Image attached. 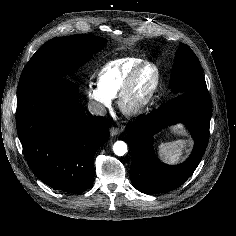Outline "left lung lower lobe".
I'll use <instances>...</instances> for the list:
<instances>
[{
    "label": "left lung lower lobe",
    "mask_w": 236,
    "mask_h": 236,
    "mask_svg": "<svg viewBox=\"0 0 236 236\" xmlns=\"http://www.w3.org/2000/svg\"><path fill=\"white\" fill-rule=\"evenodd\" d=\"M212 104L208 90L178 94L154 112L126 127L132 153L130 170L133 186L142 193L158 194L181 186L200 163L209 140ZM184 122L192 133L195 146L182 164L169 166L160 162L152 148L153 135L161 129Z\"/></svg>",
    "instance_id": "obj_1"
}]
</instances>
